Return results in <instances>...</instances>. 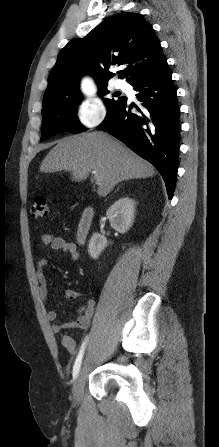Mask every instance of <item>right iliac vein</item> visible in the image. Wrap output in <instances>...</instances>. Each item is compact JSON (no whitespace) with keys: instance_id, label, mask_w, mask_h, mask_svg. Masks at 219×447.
I'll use <instances>...</instances> for the list:
<instances>
[{"instance_id":"1","label":"right iliac vein","mask_w":219,"mask_h":447,"mask_svg":"<svg viewBox=\"0 0 219 447\" xmlns=\"http://www.w3.org/2000/svg\"><path fill=\"white\" fill-rule=\"evenodd\" d=\"M84 384H85V370L84 368H81L76 377L72 390L73 400L76 405L80 404L81 402Z\"/></svg>"}]
</instances>
